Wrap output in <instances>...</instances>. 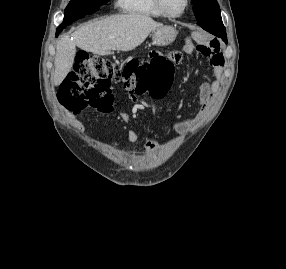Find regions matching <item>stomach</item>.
Listing matches in <instances>:
<instances>
[{"label": "stomach", "instance_id": "1", "mask_svg": "<svg viewBox=\"0 0 286 269\" xmlns=\"http://www.w3.org/2000/svg\"><path fill=\"white\" fill-rule=\"evenodd\" d=\"M177 36V31L172 26H161L154 30L152 35L153 44L166 46L172 43Z\"/></svg>", "mask_w": 286, "mask_h": 269}]
</instances>
